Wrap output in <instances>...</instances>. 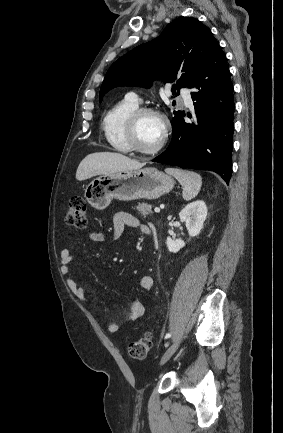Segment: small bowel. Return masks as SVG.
<instances>
[{
	"label": "small bowel",
	"mask_w": 283,
	"mask_h": 433,
	"mask_svg": "<svg viewBox=\"0 0 283 433\" xmlns=\"http://www.w3.org/2000/svg\"><path fill=\"white\" fill-rule=\"evenodd\" d=\"M133 227L140 228V230L145 233H150V228L147 225L140 224L139 220L133 215L127 212H118L113 217V239L118 240L123 232L125 227ZM89 239L93 242H102L105 239V236L101 232H90L88 235ZM73 260L72 252L69 248H64L60 252V269L63 275H66L67 284L71 291V293L81 302L88 303L89 299L85 293L84 288L79 285L71 276H70V264ZM153 278L150 275H145L139 280V287L143 290H149L153 286ZM145 306L140 300H134L131 303L130 314L128 317L129 321H135L145 315ZM120 326L118 323L112 322L109 324L108 329L110 332H117Z\"/></svg>",
	"instance_id": "1"
}]
</instances>
